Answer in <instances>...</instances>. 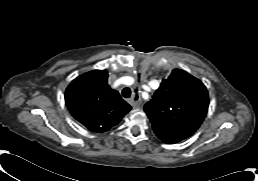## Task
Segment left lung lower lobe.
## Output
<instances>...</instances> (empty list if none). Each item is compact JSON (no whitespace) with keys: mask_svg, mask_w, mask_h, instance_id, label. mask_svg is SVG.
Returning a JSON list of instances; mask_svg holds the SVG:
<instances>
[{"mask_svg":"<svg viewBox=\"0 0 258 181\" xmlns=\"http://www.w3.org/2000/svg\"><path fill=\"white\" fill-rule=\"evenodd\" d=\"M163 142L167 143V144H172V143H176L181 141L182 139L170 136V135H166L163 133H155Z\"/></svg>","mask_w":258,"mask_h":181,"instance_id":"obj_1","label":"left lung lower lobe"}]
</instances>
